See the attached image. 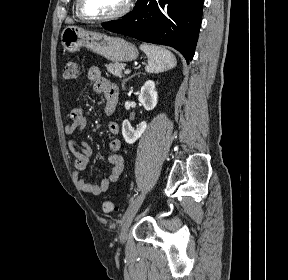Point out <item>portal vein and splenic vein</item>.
<instances>
[{"instance_id": "1", "label": "portal vein and splenic vein", "mask_w": 288, "mask_h": 280, "mask_svg": "<svg viewBox=\"0 0 288 280\" xmlns=\"http://www.w3.org/2000/svg\"><path fill=\"white\" fill-rule=\"evenodd\" d=\"M130 72H131V71H130L129 69H126V70L124 71L125 74H130Z\"/></svg>"}]
</instances>
